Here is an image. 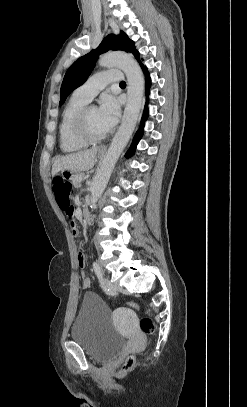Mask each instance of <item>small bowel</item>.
<instances>
[{
	"label": "small bowel",
	"mask_w": 247,
	"mask_h": 407,
	"mask_svg": "<svg viewBox=\"0 0 247 407\" xmlns=\"http://www.w3.org/2000/svg\"><path fill=\"white\" fill-rule=\"evenodd\" d=\"M63 212H64V214H65V216H66V218H67V220H68V222H69V224H70V226L72 228L73 233H76V220H75V208H74V206L71 204L70 207L66 211H63ZM77 263H78V266L80 268L84 267V265H85V255H84V253L80 252L78 254ZM90 284H91L90 279L87 276H85V274H82V286L84 288H87V287L90 286Z\"/></svg>",
	"instance_id": "small-bowel-1"
}]
</instances>
